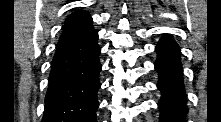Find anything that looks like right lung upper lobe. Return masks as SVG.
<instances>
[{
  "label": "right lung upper lobe",
  "mask_w": 221,
  "mask_h": 122,
  "mask_svg": "<svg viewBox=\"0 0 221 122\" xmlns=\"http://www.w3.org/2000/svg\"><path fill=\"white\" fill-rule=\"evenodd\" d=\"M91 16L86 11L80 10L69 15L65 21L64 30L61 36L69 31L81 26L82 24L91 21Z\"/></svg>",
  "instance_id": "obj_1"
}]
</instances>
